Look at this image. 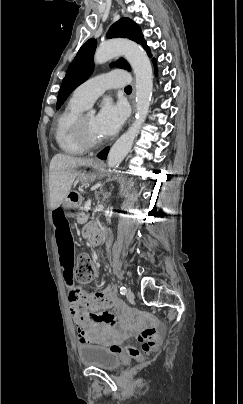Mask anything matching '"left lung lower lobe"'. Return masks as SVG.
Listing matches in <instances>:
<instances>
[{
  "mask_svg": "<svg viewBox=\"0 0 243 404\" xmlns=\"http://www.w3.org/2000/svg\"><path fill=\"white\" fill-rule=\"evenodd\" d=\"M153 62L155 63V59H153ZM108 151H109V148L107 147V148H105L104 150H102V151L98 154V157H99L100 159H106V156H107Z\"/></svg>",
  "mask_w": 243,
  "mask_h": 404,
  "instance_id": "0a47b994",
  "label": "left lung lower lobe"
}]
</instances>
